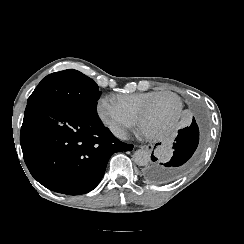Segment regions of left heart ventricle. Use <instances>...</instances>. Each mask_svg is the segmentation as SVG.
I'll use <instances>...</instances> for the list:
<instances>
[{
    "label": "left heart ventricle",
    "mask_w": 244,
    "mask_h": 244,
    "mask_svg": "<svg viewBox=\"0 0 244 244\" xmlns=\"http://www.w3.org/2000/svg\"><path fill=\"white\" fill-rule=\"evenodd\" d=\"M178 107V100L170 95L162 96L157 102L152 104L145 113L146 124L149 127H156L159 121H166Z\"/></svg>",
    "instance_id": "obj_1"
}]
</instances>
